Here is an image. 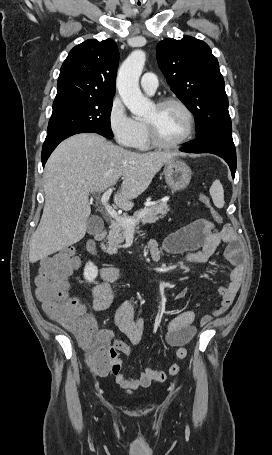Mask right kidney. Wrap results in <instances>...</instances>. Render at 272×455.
I'll list each match as a JSON object with an SVG mask.
<instances>
[{"label":"right kidney","mask_w":272,"mask_h":455,"mask_svg":"<svg viewBox=\"0 0 272 455\" xmlns=\"http://www.w3.org/2000/svg\"><path fill=\"white\" fill-rule=\"evenodd\" d=\"M98 275V268L92 263L88 262L84 269V278L88 282H93Z\"/></svg>","instance_id":"right-kidney-1"}]
</instances>
